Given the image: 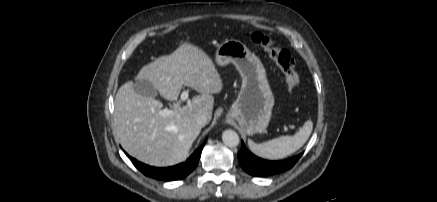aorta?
<instances>
[{"label":"aorta","instance_id":"aorta-1","mask_svg":"<svg viewBox=\"0 0 437 202\" xmlns=\"http://www.w3.org/2000/svg\"><path fill=\"white\" fill-rule=\"evenodd\" d=\"M222 140L223 143L228 147H236L240 142L239 135L231 129L225 130L222 133Z\"/></svg>","mask_w":437,"mask_h":202}]
</instances>
